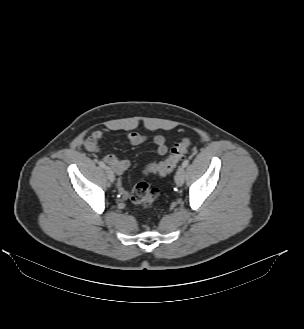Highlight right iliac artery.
I'll return each instance as SVG.
<instances>
[{
	"label": "right iliac artery",
	"instance_id": "1",
	"mask_svg": "<svg viewBox=\"0 0 304 329\" xmlns=\"http://www.w3.org/2000/svg\"><path fill=\"white\" fill-rule=\"evenodd\" d=\"M99 165H100V167H102V168H106V165H105V163H104V162H102V161H100V162H99Z\"/></svg>",
	"mask_w": 304,
	"mask_h": 329
}]
</instances>
